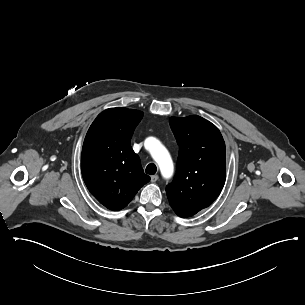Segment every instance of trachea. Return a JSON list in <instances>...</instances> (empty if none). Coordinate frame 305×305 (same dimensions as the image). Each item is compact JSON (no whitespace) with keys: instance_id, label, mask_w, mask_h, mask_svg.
Wrapping results in <instances>:
<instances>
[{"instance_id":"trachea-1","label":"trachea","mask_w":305,"mask_h":305,"mask_svg":"<svg viewBox=\"0 0 305 305\" xmlns=\"http://www.w3.org/2000/svg\"><path fill=\"white\" fill-rule=\"evenodd\" d=\"M157 171V167L154 163H150L147 165L145 172L149 175H154Z\"/></svg>"}]
</instances>
